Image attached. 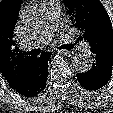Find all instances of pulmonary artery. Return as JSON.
I'll list each match as a JSON object with an SVG mask.
<instances>
[{"mask_svg":"<svg viewBox=\"0 0 113 113\" xmlns=\"http://www.w3.org/2000/svg\"><path fill=\"white\" fill-rule=\"evenodd\" d=\"M42 8L45 12V22L43 28L33 34L29 41L25 43V48L42 47L52 39L53 35L62 29V24L59 20L61 7L58 0H46L42 3ZM83 50H87V44L82 45Z\"/></svg>","mask_w":113,"mask_h":113,"instance_id":"obj_1","label":"pulmonary artery"}]
</instances>
